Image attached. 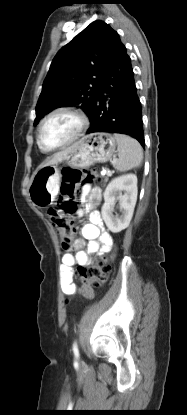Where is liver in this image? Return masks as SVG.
<instances>
[{"mask_svg": "<svg viewBox=\"0 0 187 415\" xmlns=\"http://www.w3.org/2000/svg\"><path fill=\"white\" fill-rule=\"evenodd\" d=\"M73 147L74 145L55 153L50 159H48V161L45 164L41 165L40 167L53 165L58 162H61L67 156V154L72 151Z\"/></svg>", "mask_w": 187, "mask_h": 415, "instance_id": "liver-1", "label": "liver"}]
</instances>
